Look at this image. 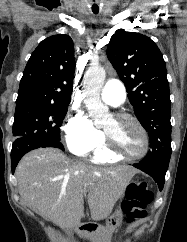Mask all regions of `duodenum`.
<instances>
[{
	"instance_id": "1",
	"label": "duodenum",
	"mask_w": 187,
	"mask_h": 242,
	"mask_svg": "<svg viewBox=\"0 0 187 242\" xmlns=\"http://www.w3.org/2000/svg\"><path fill=\"white\" fill-rule=\"evenodd\" d=\"M77 234H79L80 236H87L90 235L94 232L95 228L93 227L92 224L90 223H80L76 226L75 228Z\"/></svg>"
}]
</instances>
